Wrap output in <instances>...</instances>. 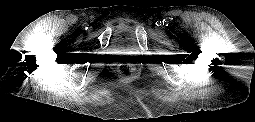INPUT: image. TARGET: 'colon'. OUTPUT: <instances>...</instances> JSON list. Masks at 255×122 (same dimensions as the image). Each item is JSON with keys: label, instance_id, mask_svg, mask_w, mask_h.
<instances>
[{"label": "colon", "instance_id": "5ec220e1", "mask_svg": "<svg viewBox=\"0 0 255 122\" xmlns=\"http://www.w3.org/2000/svg\"><path fill=\"white\" fill-rule=\"evenodd\" d=\"M119 73L124 76V77H129L132 75L133 73V68L131 65L129 64H122L119 69H118Z\"/></svg>", "mask_w": 255, "mask_h": 122}]
</instances>
